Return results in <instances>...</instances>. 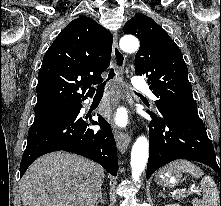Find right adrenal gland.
Here are the masks:
<instances>
[{
    "label": "right adrenal gland",
    "mask_w": 221,
    "mask_h": 206,
    "mask_svg": "<svg viewBox=\"0 0 221 206\" xmlns=\"http://www.w3.org/2000/svg\"><path fill=\"white\" fill-rule=\"evenodd\" d=\"M99 203L105 204V201L103 199V191L102 190L99 192V200L96 202V206H98Z\"/></svg>",
    "instance_id": "right-adrenal-gland-1"
}]
</instances>
